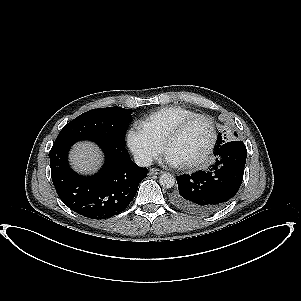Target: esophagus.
<instances>
[{
  "label": "esophagus",
  "mask_w": 301,
  "mask_h": 301,
  "mask_svg": "<svg viewBox=\"0 0 301 301\" xmlns=\"http://www.w3.org/2000/svg\"><path fill=\"white\" fill-rule=\"evenodd\" d=\"M161 173H163V171H161V170H159V169H156V168H151V169L149 170V174H150V175H157V174H161Z\"/></svg>",
  "instance_id": "esophagus-1"
}]
</instances>
